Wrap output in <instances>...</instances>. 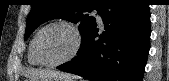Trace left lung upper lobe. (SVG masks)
Returning a JSON list of instances; mask_svg holds the SVG:
<instances>
[{
    "label": "left lung upper lobe",
    "instance_id": "5c2ea615",
    "mask_svg": "<svg viewBox=\"0 0 169 81\" xmlns=\"http://www.w3.org/2000/svg\"><path fill=\"white\" fill-rule=\"evenodd\" d=\"M105 0H33L32 8L26 21L25 40L42 23L62 18L73 23L81 22L79 30L82 40L96 23L94 17L84 15L97 9L98 13Z\"/></svg>",
    "mask_w": 169,
    "mask_h": 81
}]
</instances>
